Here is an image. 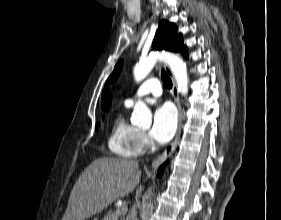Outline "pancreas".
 Wrapping results in <instances>:
<instances>
[{
    "label": "pancreas",
    "mask_w": 281,
    "mask_h": 220,
    "mask_svg": "<svg viewBox=\"0 0 281 220\" xmlns=\"http://www.w3.org/2000/svg\"><path fill=\"white\" fill-rule=\"evenodd\" d=\"M103 220H124V213H120V209L116 212L109 211Z\"/></svg>",
    "instance_id": "obj_1"
}]
</instances>
